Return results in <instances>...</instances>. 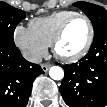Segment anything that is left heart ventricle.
<instances>
[{"mask_svg": "<svg viewBox=\"0 0 107 107\" xmlns=\"http://www.w3.org/2000/svg\"><path fill=\"white\" fill-rule=\"evenodd\" d=\"M89 36V27L84 19L76 18L67 27L57 51L64 56L78 53L85 45Z\"/></svg>", "mask_w": 107, "mask_h": 107, "instance_id": "1", "label": "left heart ventricle"}]
</instances>
